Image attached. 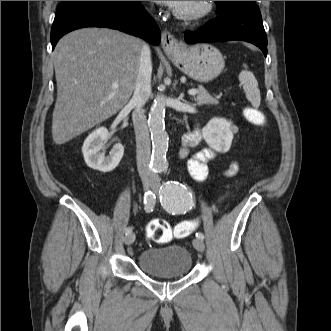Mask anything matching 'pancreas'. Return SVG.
<instances>
[{
  "mask_svg": "<svg viewBox=\"0 0 331 331\" xmlns=\"http://www.w3.org/2000/svg\"><path fill=\"white\" fill-rule=\"evenodd\" d=\"M198 93L197 96L194 98L195 102L198 105H204V104H218L219 103V96L213 97L211 96L207 90L203 87H199L197 89Z\"/></svg>",
  "mask_w": 331,
  "mask_h": 331,
  "instance_id": "pancreas-1",
  "label": "pancreas"
}]
</instances>
